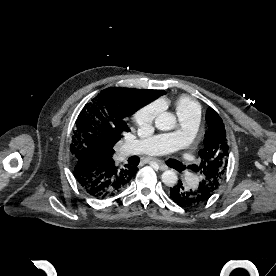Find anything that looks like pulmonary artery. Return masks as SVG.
I'll use <instances>...</instances> for the list:
<instances>
[{
	"label": "pulmonary artery",
	"instance_id": "pulmonary-artery-1",
	"mask_svg": "<svg viewBox=\"0 0 276 276\" xmlns=\"http://www.w3.org/2000/svg\"><path fill=\"white\" fill-rule=\"evenodd\" d=\"M179 121V130L127 143L124 149L136 148L141 153L159 155L172 153L187 146L197 129L199 119L195 115H185L179 117ZM192 181H197V177L192 178L190 182Z\"/></svg>",
	"mask_w": 276,
	"mask_h": 276
}]
</instances>
